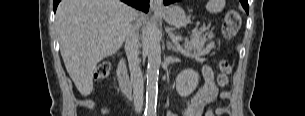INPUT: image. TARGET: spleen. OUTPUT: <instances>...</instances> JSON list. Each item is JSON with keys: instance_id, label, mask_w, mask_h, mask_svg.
<instances>
[{"instance_id": "3e777b00", "label": "spleen", "mask_w": 305, "mask_h": 116, "mask_svg": "<svg viewBox=\"0 0 305 116\" xmlns=\"http://www.w3.org/2000/svg\"><path fill=\"white\" fill-rule=\"evenodd\" d=\"M224 5H225L224 0H210L206 8L211 13H219L223 10Z\"/></svg>"}]
</instances>
